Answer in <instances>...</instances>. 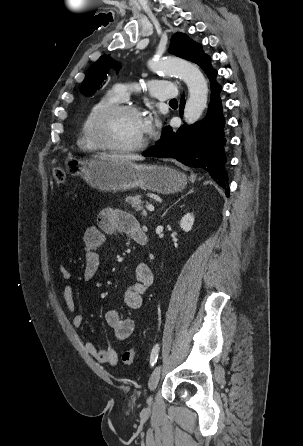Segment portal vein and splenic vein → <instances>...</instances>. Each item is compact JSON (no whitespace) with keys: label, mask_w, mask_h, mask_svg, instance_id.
<instances>
[{"label":"portal vein and splenic vein","mask_w":303,"mask_h":446,"mask_svg":"<svg viewBox=\"0 0 303 446\" xmlns=\"http://www.w3.org/2000/svg\"><path fill=\"white\" fill-rule=\"evenodd\" d=\"M146 209H147L148 211L153 212V211H154V206H153L152 204H147V205H146Z\"/></svg>","instance_id":"obj_1"}]
</instances>
